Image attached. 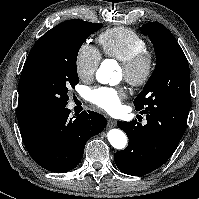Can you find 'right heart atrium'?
<instances>
[{"label":"right heart atrium","mask_w":199,"mask_h":199,"mask_svg":"<svg viewBox=\"0 0 199 199\" xmlns=\"http://www.w3.org/2000/svg\"><path fill=\"white\" fill-rule=\"evenodd\" d=\"M101 54L94 46L89 43H83L75 57V69L77 75L82 80L91 79L100 64Z\"/></svg>","instance_id":"1"}]
</instances>
